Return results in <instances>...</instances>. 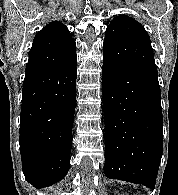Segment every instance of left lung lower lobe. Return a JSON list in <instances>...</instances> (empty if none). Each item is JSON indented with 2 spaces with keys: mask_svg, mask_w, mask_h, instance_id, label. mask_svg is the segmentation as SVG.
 I'll return each instance as SVG.
<instances>
[{
  "mask_svg": "<svg viewBox=\"0 0 178 195\" xmlns=\"http://www.w3.org/2000/svg\"><path fill=\"white\" fill-rule=\"evenodd\" d=\"M102 93L105 175L154 189L163 145L158 77L103 56Z\"/></svg>",
  "mask_w": 178,
  "mask_h": 195,
  "instance_id": "0a47b994",
  "label": "left lung lower lobe"
}]
</instances>
